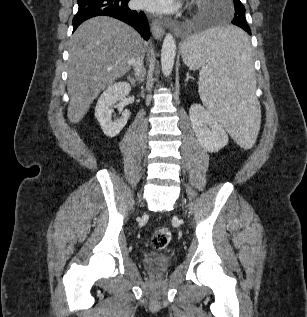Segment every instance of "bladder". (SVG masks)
<instances>
[{"label":"bladder","mask_w":307,"mask_h":317,"mask_svg":"<svg viewBox=\"0 0 307 317\" xmlns=\"http://www.w3.org/2000/svg\"><path fill=\"white\" fill-rule=\"evenodd\" d=\"M172 263V258L167 253L147 252L142 257V265L153 273L166 270Z\"/></svg>","instance_id":"obj_1"}]
</instances>
